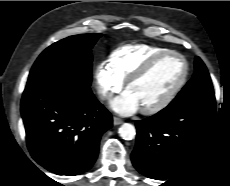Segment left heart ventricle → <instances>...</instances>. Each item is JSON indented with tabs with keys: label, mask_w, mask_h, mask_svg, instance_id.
<instances>
[{
	"label": "left heart ventricle",
	"mask_w": 230,
	"mask_h": 186,
	"mask_svg": "<svg viewBox=\"0 0 230 186\" xmlns=\"http://www.w3.org/2000/svg\"><path fill=\"white\" fill-rule=\"evenodd\" d=\"M183 72L182 60L176 56H168L158 61L127 90L135 96L141 108H147L162 100L179 82Z\"/></svg>",
	"instance_id": "1"
}]
</instances>
